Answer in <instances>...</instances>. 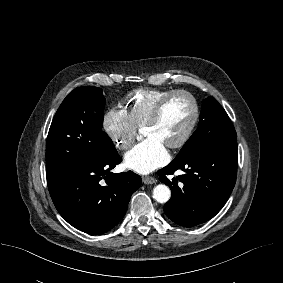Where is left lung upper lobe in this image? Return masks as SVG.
I'll list each match as a JSON object with an SVG mask.
<instances>
[{
    "label": "left lung upper lobe",
    "instance_id": "obj_1",
    "mask_svg": "<svg viewBox=\"0 0 283 283\" xmlns=\"http://www.w3.org/2000/svg\"><path fill=\"white\" fill-rule=\"evenodd\" d=\"M236 137V131L226 111L210 96L203 100L197 130L185 143L177 157L200 147L234 141Z\"/></svg>",
    "mask_w": 283,
    "mask_h": 283
}]
</instances>
